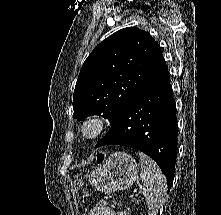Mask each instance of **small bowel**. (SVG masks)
Returning a JSON list of instances; mask_svg holds the SVG:
<instances>
[{
  "instance_id": "1",
  "label": "small bowel",
  "mask_w": 221,
  "mask_h": 215,
  "mask_svg": "<svg viewBox=\"0 0 221 215\" xmlns=\"http://www.w3.org/2000/svg\"><path fill=\"white\" fill-rule=\"evenodd\" d=\"M87 215H130L129 213L117 210L114 207H97L90 210Z\"/></svg>"
}]
</instances>
